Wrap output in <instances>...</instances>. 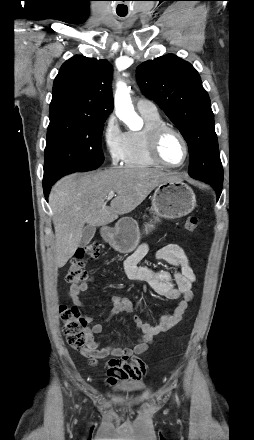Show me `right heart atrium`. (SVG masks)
<instances>
[{"instance_id":"1","label":"right heart atrium","mask_w":254,"mask_h":440,"mask_svg":"<svg viewBox=\"0 0 254 440\" xmlns=\"http://www.w3.org/2000/svg\"><path fill=\"white\" fill-rule=\"evenodd\" d=\"M103 139L111 162L113 164L121 163L126 150L127 132L122 129L114 114H110L105 120Z\"/></svg>"}]
</instances>
